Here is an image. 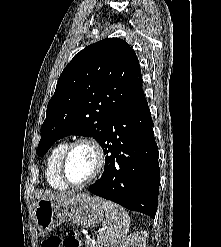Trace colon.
I'll list each match as a JSON object with an SVG mask.
<instances>
[{"instance_id":"1","label":"colon","mask_w":221,"mask_h":247,"mask_svg":"<svg viewBox=\"0 0 221 247\" xmlns=\"http://www.w3.org/2000/svg\"><path fill=\"white\" fill-rule=\"evenodd\" d=\"M42 247H81V242L74 232H70L63 239L51 237L43 241Z\"/></svg>"}]
</instances>
